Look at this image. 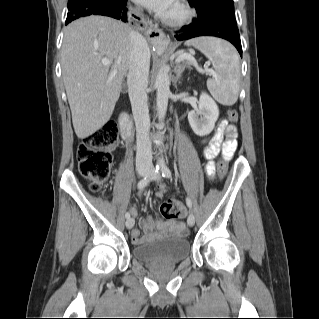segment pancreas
Here are the masks:
<instances>
[{"label":"pancreas","mask_w":319,"mask_h":319,"mask_svg":"<svg viewBox=\"0 0 319 319\" xmlns=\"http://www.w3.org/2000/svg\"><path fill=\"white\" fill-rule=\"evenodd\" d=\"M191 65H195L194 62H192V61H183V66L184 67H190Z\"/></svg>","instance_id":"obj_1"}]
</instances>
